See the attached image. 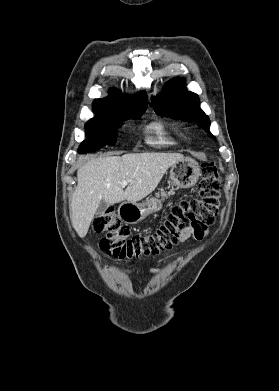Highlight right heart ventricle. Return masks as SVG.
I'll return each instance as SVG.
<instances>
[{
  "label": "right heart ventricle",
  "mask_w": 279,
  "mask_h": 391,
  "mask_svg": "<svg viewBox=\"0 0 279 391\" xmlns=\"http://www.w3.org/2000/svg\"><path fill=\"white\" fill-rule=\"evenodd\" d=\"M150 128L156 134L154 143L163 145L174 143V139L170 135L166 125L163 122H154L151 124Z\"/></svg>",
  "instance_id": "obj_1"
}]
</instances>
